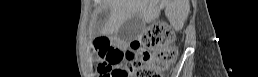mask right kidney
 I'll return each mask as SVG.
<instances>
[{
  "label": "right kidney",
  "instance_id": "obj_1",
  "mask_svg": "<svg viewBox=\"0 0 258 77\" xmlns=\"http://www.w3.org/2000/svg\"><path fill=\"white\" fill-rule=\"evenodd\" d=\"M171 13H172V15H174V14H175V10L173 9V10L171 11ZM172 25H173L176 29H180V28L182 27V25H183V22H180V23L173 22Z\"/></svg>",
  "mask_w": 258,
  "mask_h": 77
}]
</instances>
